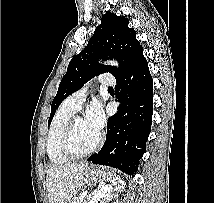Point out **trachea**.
Instances as JSON below:
<instances>
[{
    "label": "trachea",
    "instance_id": "obj_1",
    "mask_svg": "<svg viewBox=\"0 0 214 203\" xmlns=\"http://www.w3.org/2000/svg\"><path fill=\"white\" fill-rule=\"evenodd\" d=\"M108 89H113L112 87H109Z\"/></svg>",
    "mask_w": 214,
    "mask_h": 203
}]
</instances>
